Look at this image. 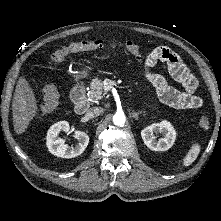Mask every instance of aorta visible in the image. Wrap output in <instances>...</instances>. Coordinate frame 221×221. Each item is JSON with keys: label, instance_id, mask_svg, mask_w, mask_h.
<instances>
[{"label": "aorta", "instance_id": "1", "mask_svg": "<svg viewBox=\"0 0 221 221\" xmlns=\"http://www.w3.org/2000/svg\"><path fill=\"white\" fill-rule=\"evenodd\" d=\"M125 121H126V117L123 113L121 112H117L114 114L113 116V123L117 126H124L125 124Z\"/></svg>", "mask_w": 221, "mask_h": 221}]
</instances>
